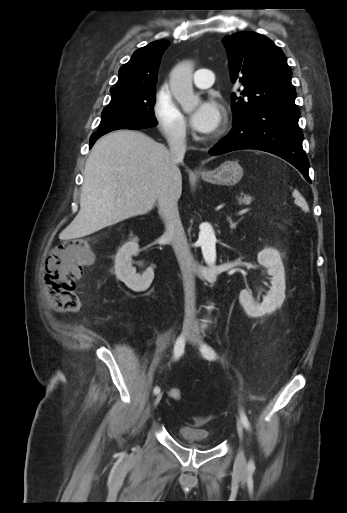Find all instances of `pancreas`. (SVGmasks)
<instances>
[{
	"label": "pancreas",
	"mask_w": 347,
	"mask_h": 513,
	"mask_svg": "<svg viewBox=\"0 0 347 513\" xmlns=\"http://www.w3.org/2000/svg\"><path fill=\"white\" fill-rule=\"evenodd\" d=\"M240 203H245V200L241 198Z\"/></svg>",
	"instance_id": "pancreas-1"
}]
</instances>
